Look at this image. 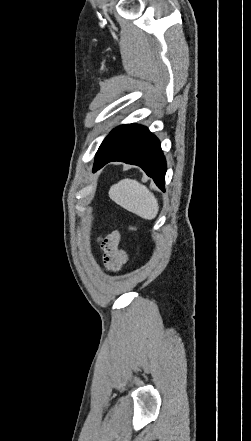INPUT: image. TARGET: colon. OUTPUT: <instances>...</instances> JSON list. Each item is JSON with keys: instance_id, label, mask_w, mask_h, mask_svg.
I'll list each match as a JSON object with an SVG mask.
<instances>
[{"instance_id": "5ec220e1", "label": "colon", "mask_w": 251, "mask_h": 441, "mask_svg": "<svg viewBox=\"0 0 251 441\" xmlns=\"http://www.w3.org/2000/svg\"><path fill=\"white\" fill-rule=\"evenodd\" d=\"M129 229H130L131 231H133V232H136V231H137V228H136L135 226H130Z\"/></svg>"}]
</instances>
